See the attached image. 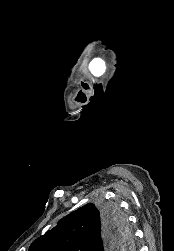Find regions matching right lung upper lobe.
Segmentation results:
<instances>
[{
	"label": "right lung upper lobe",
	"instance_id": "obj_1",
	"mask_svg": "<svg viewBox=\"0 0 174 251\" xmlns=\"http://www.w3.org/2000/svg\"><path fill=\"white\" fill-rule=\"evenodd\" d=\"M105 216L94 204L71 212L62 218L56 227L37 238L29 251H104L120 250L123 237L116 233L111 247H103L101 236Z\"/></svg>",
	"mask_w": 174,
	"mask_h": 251
}]
</instances>
